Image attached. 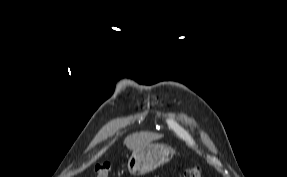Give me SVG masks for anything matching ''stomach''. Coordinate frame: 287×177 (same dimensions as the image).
I'll return each mask as SVG.
<instances>
[{
	"label": "stomach",
	"instance_id": "0dacf381",
	"mask_svg": "<svg viewBox=\"0 0 287 177\" xmlns=\"http://www.w3.org/2000/svg\"><path fill=\"white\" fill-rule=\"evenodd\" d=\"M174 150L165 144L150 143L133 150L128 160V170L134 176L145 175L169 162Z\"/></svg>",
	"mask_w": 287,
	"mask_h": 177
}]
</instances>
